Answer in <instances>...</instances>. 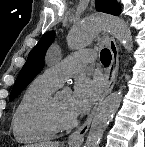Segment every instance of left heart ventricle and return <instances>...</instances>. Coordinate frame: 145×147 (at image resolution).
Listing matches in <instances>:
<instances>
[{
  "instance_id": "b2bd125f",
  "label": "left heart ventricle",
  "mask_w": 145,
  "mask_h": 147,
  "mask_svg": "<svg viewBox=\"0 0 145 147\" xmlns=\"http://www.w3.org/2000/svg\"><path fill=\"white\" fill-rule=\"evenodd\" d=\"M56 101L58 108L62 112L63 115L67 117H72L70 103H71V95L69 93H62L56 96Z\"/></svg>"
}]
</instances>
